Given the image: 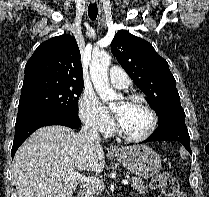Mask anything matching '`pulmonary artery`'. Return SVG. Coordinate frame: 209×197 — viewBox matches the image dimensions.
I'll list each match as a JSON object with an SVG mask.
<instances>
[{
    "label": "pulmonary artery",
    "instance_id": "e3ab8cb5",
    "mask_svg": "<svg viewBox=\"0 0 209 197\" xmlns=\"http://www.w3.org/2000/svg\"><path fill=\"white\" fill-rule=\"evenodd\" d=\"M110 82L117 89H125L130 85L127 73L118 66H113L109 70Z\"/></svg>",
    "mask_w": 209,
    "mask_h": 197
}]
</instances>
